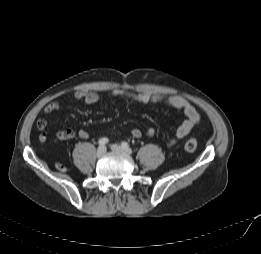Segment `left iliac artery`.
I'll use <instances>...</instances> for the list:
<instances>
[{
    "instance_id": "left-iliac-artery-1",
    "label": "left iliac artery",
    "mask_w": 261,
    "mask_h": 254,
    "mask_svg": "<svg viewBox=\"0 0 261 254\" xmlns=\"http://www.w3.org/2000/svg\"><path fill=\"white\" fill-rule=\"evenodd\" d=\"M122 147L124 148V149H127V148H129V144L127 143V142H122Z\"/></svg>"
}]
</instances>
